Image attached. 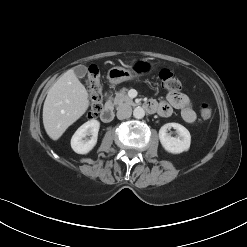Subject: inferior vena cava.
Here are the masks:
<instances>
[{"instance_id":"1","label":"inferior vena cava","mask_w":247,"mask_h":247,"mask_svg":"<svg viewBox=\"0 0 247 247\" xmlns=\"http://www.w3.org/2000/svg\"><path fill=\"white\" fill-rule=\"evenodd\" d=\"M132 114V108L129 105H122L117 110V118L119 120L127 119Z\"/></svg>"}]
</instances>
